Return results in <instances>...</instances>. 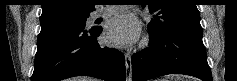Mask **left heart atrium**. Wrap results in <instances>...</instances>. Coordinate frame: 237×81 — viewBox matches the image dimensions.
I'll list each match as a JSON object with an SVG mask.
<instances>
[{
	"instance_id": "1",
	"label": "left heart atrium",
	"mask_w": 237,
	"mask_h": 81,
	"mask_svg": "<svg viewBox=\"0 0 237 81\" xmlns=\"http://www.w3.org/2000/svg\"><path fill=\"white\" fill-rule=\"evenodd\" d=\"M140 26L131 15L123 14L111 19L106 27L107 42L117 46H129L138 41Z\"/></svg>"
}]
</instances>
